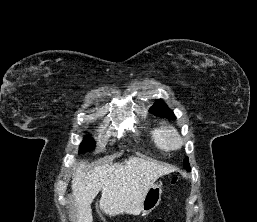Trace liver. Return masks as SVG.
<instances>
[{"instance_id":"6515ba94","label":"liver","mask_w":257,"mask_h":222,"mask_svg":"<svg viewBox=\"0 0 257 222\" xmlns=\"http://www.w3.org/2000/svg\"><path fill=\"white\" fill-rule=\"evenodd\" d=\"M80 163L72 179L76 222H93L91 203L101 191L100 210L109 216L141 213L145 194L161 176L176 170L151 159L130 156L122 163L99 165L85 172Z\"/></svg>"}]
</instances>
